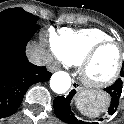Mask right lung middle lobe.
Wrapping results in <instances>:
<instances>
[{"instance_id": "right-lung-middle-lobe-1", "label": "right lung middle lobe", "mask_w": 124, "mask_h": 124, "mask_svg": "<svg viewBox=\"0 0 124 124\" xmlns=\"http://www.w3.org/2000/svg\"><path fill=\"white\" fill-rule=\"evenodd\" d=\"M37 17L22 8H10L0 12V26H21L36 24Z\"/></svg>"}]
</instances>
